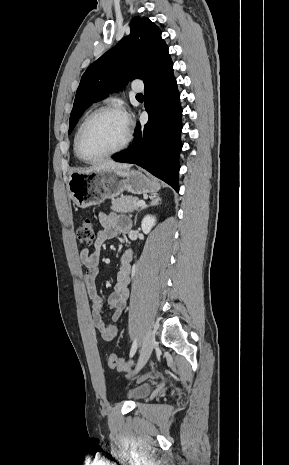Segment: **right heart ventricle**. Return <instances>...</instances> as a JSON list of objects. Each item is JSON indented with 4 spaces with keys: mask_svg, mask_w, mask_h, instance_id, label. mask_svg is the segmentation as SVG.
Instances as JSON below:
<instances>
[{
    "mask_svg": "<svg viewBox=\"0 0 289 465\" xmlns=\"http://www.w3.org/2000/svg\"><path fill=\"white\" fill-rule=\"evenodd\" d=\"M78 130H79V128L77 129V131H76V133L74 135V152H75L77 157H78V155H77V152H76V138H77Z\"/></svg>",
    "mask_w": 289,
    "mask_h": 465,
    "instance_id": "1",
    "label": "right heart ventricle"
}]
</instances>
